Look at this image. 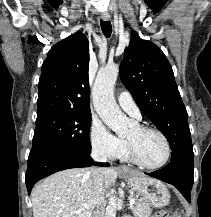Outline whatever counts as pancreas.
Returning a JSON list of instances; mask_svg holds the SVG:
<instances>
[{
    "instance_id": "1",
    "label": "pancreas",
    "mask_w": 211,
    "mask_h": 217,
    "mask_svg": "<svg viewBox=\"0 0 211 217\" xmlns=\"http://www.w3.org/2000/svg\"><path fill=\"white\" fill-rule=\"evenodd\" d=\"M135 203L130 206L131 211L135 217H149L151 212V205L144 198H134Z\"/></svg>"
}]
</instances>
